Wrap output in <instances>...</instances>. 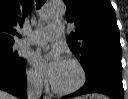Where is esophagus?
Segmentation results:
<instances>
[{
    "mask_svg": "<svg viewBox=\"0 0 128 99\" xmlns=\"http://www.w3.org/2000/svg\"><path fill=\"white\" fill-rule=\"evenodd\" d=\"M44 99H50V97L48 95H45Z\"/></svg>",
    "mask_w": 128,
    "mask_h": 99,
    "instance_id": "1",
    "label": "esophagus"
}]
</instances>
